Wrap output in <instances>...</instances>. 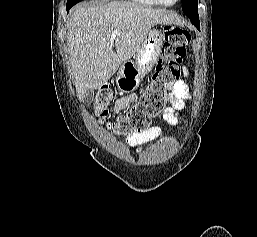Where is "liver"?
<instances>
[{"label":"liver","mask_w":257,"mask_h":237,"mask_svg":"<svg viewBox=\"0 0 257 237\" xmlns=\"http://www.w3.org/2000/svg\"><path fill=\"white\" fill-rule=\"evenodd\" d=\"M179 22L172 13L129 2L79 5L68 25V51L79 99L87 90L98 89L139 49L144 37L157 24ZM119 31L113 42L109 39Z\"/></svg>","instance_id":"liver-1"}]
</instances>
